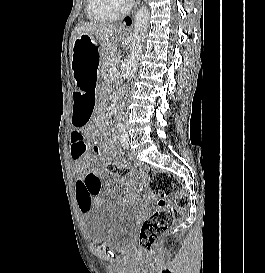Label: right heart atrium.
<instances>
[{
	"mask_svg": "<svg viewBox=\"0 0 265 273\" xmlns=\"http://www.w3.org/2000/svg\"><path fill=\"white\" fill-rule=\"evenodd\" d=\"M131 0H109L111 6L115 8L118 11H123L125 10Z\"/></svg>",
	"mask_w": 265,
	"mask_h": 273,
	"instance_id": "right-heart-atrium-1",
	"label": "right heart atrium"
}]
</instances>
